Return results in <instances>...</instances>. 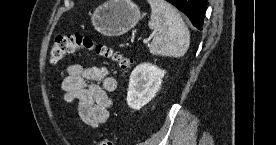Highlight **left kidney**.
Returning a JSON list of instances; mask_svg holds the SVG:
<instances>
[{"label": "left kidney", "instance_id": "5707ae66", "mask_svg": "<svg viewBox=\"0 0 276 145\" xmlns=\"http://www.w3.org/2000/svg\"><path fill=\"white\" fill-rule=\"evenodd\" d=\"M165 70L150 63L139 64L131 73L127 104L134 110H140L149 103L160 89Z\"/></svg>", "mask_w": 276, "mask_h": 145}]
</instances>
